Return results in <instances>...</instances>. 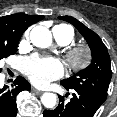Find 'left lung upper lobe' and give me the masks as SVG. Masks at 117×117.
Wrapping results in <instances>:
<instances>
[{"label": "left lung upper lobe", "mask_w": 117, "mask_h": 117, "mask_svg": "<svg viewBox=\"0 0 117 117\" xmlns=\"http://www.w3.org/2000/svg\"><path fill=\"white\" fill-rule=\"evenodd\" d=\"M77 28L87 41L92 55L91 64L77 74L64 79L61 84L69 89L82 90L103 103L111 80V62L106 46L101 38L83 23L70 16L59 17Z\"/></svg>", "instance_id": "1"}]
</instances>
